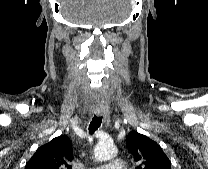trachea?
I'll return each mask as SVG.
<instances>
[{
    "label": "trachea",
    "instance_id": "obj_1",
    "mask_svg": "<svg viewBox=\"0 0 208 169\" xmlns=\"http://www.w3.org/2000/svg\"><path fill=\"white\" fill-rule=\"evenodd\" d=\"M101 123L102 117L94 115L89 125V133L93 134L100 127Z\"/></svg>",
    "mask_w": 208,
    "mask_h": 169
}]
</instances>
